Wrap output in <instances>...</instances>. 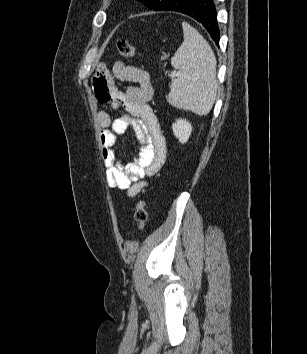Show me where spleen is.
Listing matches in <instances>:
<instances>
[{"instance_id":"3e777b00","label":"spleen","mask_w":307,"mask_h":354,"mask_svg":"<svg viewBox=\"0 0 307 354\" xmlns=\"http://www.w3.org/2000/svg\"><path fill=\"white\" fill-rule=\"evenodd\" d=\"M184 40L171 59L179 70L172 80L167 101L174 107L207 115L216 99V58L208 42L191 27L183 23Z\"/></svg>"}]
</instances>
